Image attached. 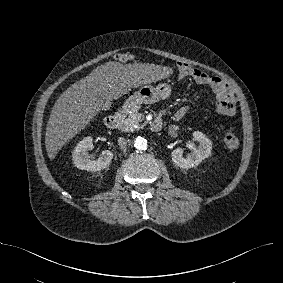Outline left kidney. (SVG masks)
<instances>
[{
	"label": "left kidney",
	"mask_w": 283,
	"mask_h": 283,
	"mask_svg": "<svg viewBox=\"0 0 283 283\" xmlns=\"http://www.w3.org/2000/svg\"><path fill=\"white\" fill-rule=\"evenodd\" d=\"M193 141L199 142V146L196 149L193 147V143H187V146L193 149V152L186 158L183 157V150L176 149L171 153L172 161L175 166L182 169H190L198 166L203 160L208 158L212 152V141L208 139L205 134L199 131L193 133Z\"/></svg>",
	"instance_id": "5707ae66"
}]
</instances>
